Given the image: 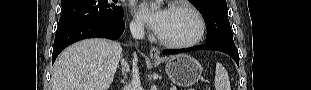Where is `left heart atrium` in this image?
I'll return each instance as SVG.
<instances>
[{
	"mask_svg": "<svg viewBox=\"0 0 311 90\" xmlns=\"http://www.w3.org/2000/svg\"><path fill=\"white\" fill-rule=\"evenodd\" d=\"M139 12L147 25L159 35L165 27L169 11L166 9L155 10L145 2L141 4Z\"/></svg>",
	"mask_w": 311,
	"mask_h": 90,
	"instance_id": "1",
	"label": "left heart atrium"
}]
</instances>
